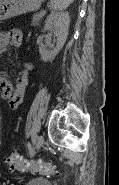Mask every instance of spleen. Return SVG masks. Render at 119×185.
<instances>
[{
  "mask_svg": "<svg viewBox=\"0 0 119 185\" xmlns=\"http://www.w3.org/2000/svg\"><path fill=\"white\" fill-rule=\"evenodd\" d=\"M74 0H50V8L54 11H63L66 9Z\"/></svg>",
  "mask_w": 119,
  "mask_h": 185,
  "instance_id": "3e777b00",
  "label": "spleen"
}]
</instances>
